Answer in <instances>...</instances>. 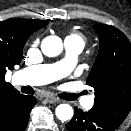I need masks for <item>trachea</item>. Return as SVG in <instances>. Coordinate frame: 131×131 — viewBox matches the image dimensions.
<instances>
[{
	"label": "trachea",
	"instance_id": "obj_1",
	"mask_svg": "<svg viewBox=\"0 0 131 131\" xmlns=\"http://www.w3.org/2000/svg\"><path fill=\"white\" fill-rule=\"evenodd\" d=\"M22 92L26 94H34V89L30 86H25L22 88ZM84 94V92H81L79 94H74V93H62L59 95L61 99L68 100V101H73L76 100L79 95Z\"/></svg>",
	"mask_w": 131,
	"mask_h": 131
}]
</instances>
